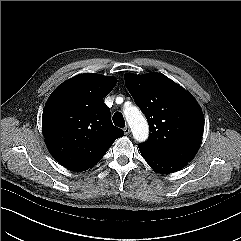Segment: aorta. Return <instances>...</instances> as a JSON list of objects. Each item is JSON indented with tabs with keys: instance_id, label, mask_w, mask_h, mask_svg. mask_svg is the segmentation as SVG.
<instances>
[{
	"instance_id": "obj_1",
	"label": "aorta",
	"mask_w": 241,
	"mask_h": 241,
	"mask_svg": "<svg viewBox=\"0 0 241 241\" xmlns=\"http://www.w3.org/2000/svg\"><path fill=\"white\" fill-rule=\"evenodd\" d=\"M124 115L131 128L134 139L137 142L146 141L149 135V127L141 111L135 106H130L125 108Z\"/></svg>"
}]
</instances>
